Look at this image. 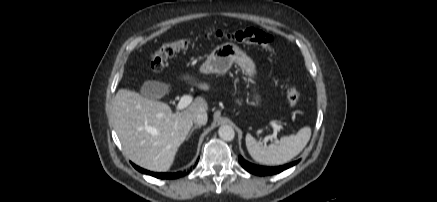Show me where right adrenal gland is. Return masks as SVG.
Returning a JSON list of instances; mask_svg holds the SVG:
<instances>
[{"instance_id":"obj_1","label":"right adrenal gland","mask_w":437,"mask_h":202,"mask_svg":"<svg viewBox=\"0 0 437 202\" xmlns=\"http://www.w3.org/2000/svg\"><path fill=\"white\" fill-rule=\"evenodd\" d=\"M200 127H201V125L194 126V127L192 128L190 134L188 135L187 139L190 137V135L192 134V132H193L195 129H198V128H200Z\"/></svg>"}]
</instances>
